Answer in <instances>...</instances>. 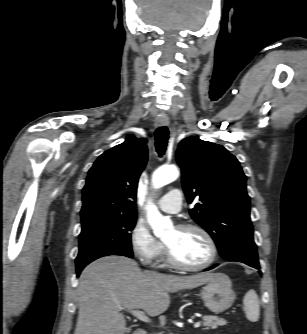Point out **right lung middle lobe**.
<instances>
[{
  "label": "right lung middle lobe",
  "instance_id": "1",
  "mask_svg": "<svg viewBox=\"0 0 307 334\" xmlns=\"http://www.w3.org/2000/svg\"><path fill=\"white\" fill-rule=\"evenodd\" d=\"M81 221L77 269L103 256L133 257L130 231L135 226L136 216L96 214L81 217Z\"/></svg>",
  "mask_w": 307,
  "mask_h": 334
}]
</instances>
